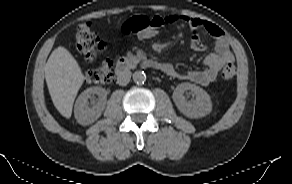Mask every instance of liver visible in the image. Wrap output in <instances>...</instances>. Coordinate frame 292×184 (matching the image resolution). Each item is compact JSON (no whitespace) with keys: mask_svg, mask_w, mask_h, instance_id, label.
Segmentation results:
<instances>
[{"mask_svg":"<svg viewBox=\"0 0 292 184\" xmlns=\"http://www.w3.org/2000/svg\"><path fill=\"white\" fill-rule=\"evenodd\" d=\"M49 94L59 113L70 118L77 93L84 82V75L72 54L59 46L50 55L45 67Z\"/></svg>","mask_w":292,"mask_h":184,"instance_id":"liver-1","label":"liver"}]
</instances>
